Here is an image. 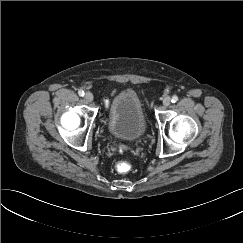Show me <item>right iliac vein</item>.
<instances>
[{
	"label": "right iliac vein",
	"instance_id": "obj_1",
	"mask_svg": "<svg viewBox=\"0 0 243 243\" xmlns=\"http://www.w3.org/2000/svg\"><path fill=\"white\" fill-rule=\"evenodd\" d=\"M85 100L87 101V102H92L93 101V94L91 93V92H87L86 94H85Z\"/></svg>",
	"mask_w": 243,
	"mask_h": 243
}]
</instances>
